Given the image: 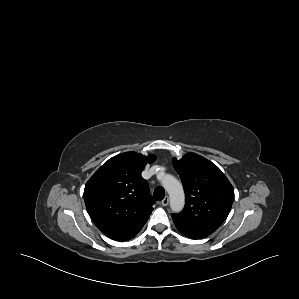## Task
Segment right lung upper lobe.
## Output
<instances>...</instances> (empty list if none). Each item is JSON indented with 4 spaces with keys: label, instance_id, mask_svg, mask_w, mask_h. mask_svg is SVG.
Here are the masks:
<instances>
[{
    "label": "right lung upper lobe",
    "instance_id": "1",
    "mask_svg": "<svg viewBox=\"0 0 299 299\" xmlns=\"http://www.w3.org/2000/svg\"><path fill=\"white\" fill-rule=\"evenodd\" d=\"M154 160V155L125 152L105 162L87 182L86 208L98 229L109 238L129 240L147 222L154 200L141 172Z\"/></svg>",
    "mask_w": 299,
    "mask_h": 299
}]
</instances>
